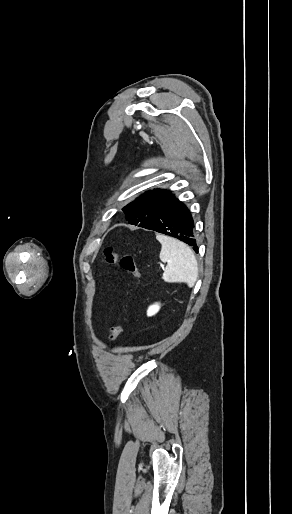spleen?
Returning <instances> with one entry per match:
<instances>
[{
    "label": "spleen",
    "instance_id": "spleen-1",
    "mask_svg": "<svg viewBox=\"0 0 292 514\" xmlns=\"http://www.w3.org/2000/svg\"><path fill=\"white\" fill-rule=\"evenodd\" d=\"M156 240L161 244L159 258L161 262H167L164 282H184L192 288L198 278V264L192 250L180 240L169 236L157 234Z\"/></svg>",
    "mask_w": 292,
    "mask_h": 514
}]
</instances>
